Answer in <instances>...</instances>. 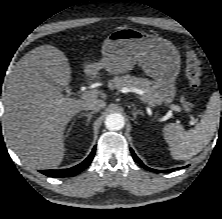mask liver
<instances>
[{
	"label": "liver",
	"instance_id": "6515ba94",
	"mask_svg": "<svg viewBox=\"0 0 222 219\" xmlns=\"http://www.w3.org/2000/svg\"><path fill=\"white\" fill-rule=\"evenodd\" d=\"M83 68L86 76L99 78V65L85 62ZM71 73L68 58L61 50L42 45L25 54L9 77L3 127L10 147L29 168L51 169L60 165L65 153L67 124L87 103L98 100L96 96L65 97L43 77L59 87H67ZM103 103L104 108L106 103Z\"/></svg>",
	"mask_w": 222,
	"mask_h": 219
}]
</instances>
